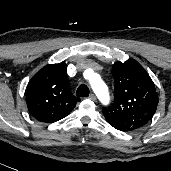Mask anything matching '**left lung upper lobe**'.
I'll use <instances>...</instances> for the list:
<instances>
[{"label":"left lung upper lobe","mask_w":171,"mask_h":171,"mask_svg":"<svg viewBox=\"0 0 171 171\" xmlns=\"http://www.w3.org/2000/svg\"><path fill=\"white\" fill-rule=\"evenodd\" d=\"M114 105L102 112L111 126L121 131L138 129L153 117L158 96L153 81L135 60L112 66Z\"/></svg>","instance_id":"obj_1"}]
</instances>
